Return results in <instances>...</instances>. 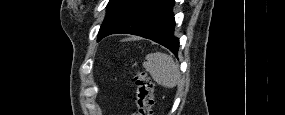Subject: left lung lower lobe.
Wrapping results in <instances>:
<instances>
[{"instance_id":"left-lung-lower-lobe-1","label":"left lung lower lobe","mask_w":285,"mask_h":115,"mask_svg":"<svg viewBox=\"0 0 285 115\" xmlns=\"http://www.w3.org/2000/svg\"><path fill=\"white\" fill-rule=\"evenodd\" d=\"M174 0H130L106 25L107 35L127 33L151 39L177 55L179 39L174 36Z\"/></svg>"}]
</instances>
